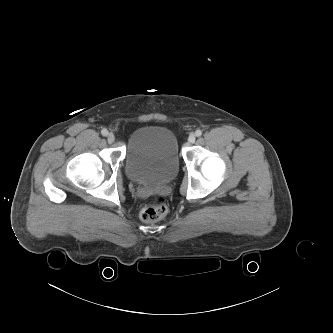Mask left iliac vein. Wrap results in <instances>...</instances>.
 Wrapping results in <instances>:
<instances>
[{
	"label": "left iliac vein",
	"mask_w": 333,
	"mask_h": 333,
	"mask_svg": "<svg viewBox=\"0 0 333 333\" xmlns=\"http://www.w3.org/2000/svg\"><path fill=\"white\" fill-rule=\"evenodd\" d=\"M195 140H196L195 134H190L189 137H188V142L189 143H194Z\"/></svg>",
	"instance_id": "obj_1"
}]
</instances>
